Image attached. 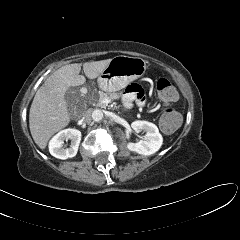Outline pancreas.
I'll list each match as a JSON object with an SVG mask.
<instances>
[{"label": "pancreas", "instance_id": "pancreas-1", "mask_svg": "<svg viewBox=\"0 0 240 240\" xmlns=\"http://www.w3.org/2000/svg\"><path fill=\"white\" fill-rule=\"evenodd\" d=\"M120 95L119 94H116V93H104V92H101L99 91L96 95L90 97V103H92L93 105L95 106H99V107H103L105 106L106 104L102 102V100L104 98H109V99H117L119 98Z\"/></svg>", "mask_w": 240, "mask_h": 240}]
</instances>
